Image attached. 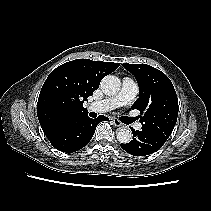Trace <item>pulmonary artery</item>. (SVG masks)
Here are the masks:
<instances>
[{"mask_svg": "<svg viewBox=\"0 0 211 211\" xmlns=\"http://www.w3.org/2000/svg\"><path fill=\"white\" fill-rule=\"evenodd\" d=\"M138 92V84L133 79L125 77L122 80L121 89L118 94L110 98L92 102L89 104L88 108L97 113L108 112L132 101L137 96ZM135 128L141 130V123H137Z\"/></svg>", "mask_w": 211, "mask_h": 211, "instance_id": "e3ab8cb5", "label": "pulmonary artery"}]
</instances>
